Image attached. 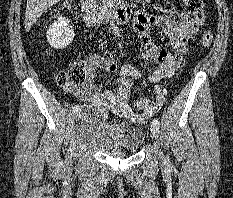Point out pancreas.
Returning <instances> with one entry per match:
<instances>
[{
	"instance_id": "cf45deb5",
	"label": "pancreas",
	"mask_w": 233,
	"mask_h": 198,
	"mask_svg": "<svg viewBox=\"0 0 233 198\" xmlns=\"http://www.w3.org/2000/svg\"><path fill=\"white\" fill-rule=\"evenodd\" d=\"M103 4V6L109 7L112 5H115L116 3H120L123 0H100Z\"/></svg>"
}]
</instances>
